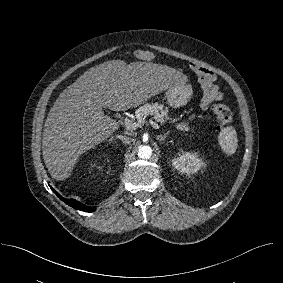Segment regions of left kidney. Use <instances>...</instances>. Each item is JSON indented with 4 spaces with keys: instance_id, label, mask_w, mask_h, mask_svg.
<instances>
[{
    "instance_id": "left-kidney-1",
    "label": "left kidney",
    "mask_w": 283,
    "mask_h": 283,
    "mask_svg": "<svg viewBox=\"0 0 283 283\" xmlns=\"http://www.w3.org/2000/svg\"><path fill=\"white\" fill-rule=\"evenodd\" d=\"M172 164L181 173L193 174L204 165V162L195 153L183 152L172 160Z\"/></svg>"
}]
</instances>
